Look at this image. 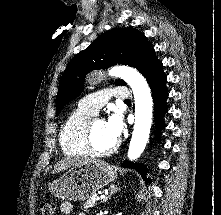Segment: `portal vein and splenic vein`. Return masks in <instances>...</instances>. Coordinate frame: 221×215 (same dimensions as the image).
<instances>
[{"label": "portal vein and splenic vein", "instance_id": "1", "mask_svg": "<svg viewBox=\"0 0 221 215\" xmlns=\"http://www.w3.org/2000/svg\"><path fill=\"white\" fill-rule=\"evenodd\" d=\"M93 198H94L95 200H100L102 197L94 196Z\"/></svg>", "mask_w": 221, "mask_h": 215}]
</instances>
